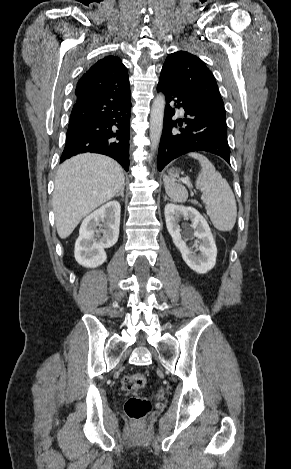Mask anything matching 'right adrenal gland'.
Masks as SVG:
<instances>
[{
  "label": "right adrenal gland",
  "instance_id": "2a0ac1e0",
  "mask_svg": "<svg viewBox=\"0 0 291 469\" xmlns=\"http://www.w3.org/2000/svg\"><path fill=\"white\" fill-rule=\"evenodd\" d=\"M124 186L121 188V190L115 195V197H118L119 195H121L122 198H124Z\"/></svg>",
  "mask_w": 291,
  "mask_h": 469
}]
</instances>
